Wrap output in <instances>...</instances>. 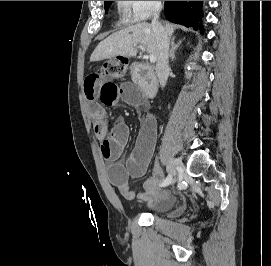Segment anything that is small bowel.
Listing matches in <instances>:
<instances>
[{"mask_svg":"<svg viewBox=\"0 0 271 266\" xmlns=\"http://www.w3.org/2000/svg\"><path fill=\"white\" fill-rule=\"evenodd\" d=\"M84 93L89 101V115L93 121L94 133L101 141V153L109 162V179L121 195L128 199L141 200L148 207H167L173 204L174 197L168 190L159 186L162 171L156 167L152 176L143 184V191L136 193L129 186L131 178L142 177L148 167L156 144V122L148 115L139 131L134 148L125 162L119 158L129 140V126L123 118H118L109 129L105 107L117 106L121 101L140 107L143 99L130 82L116 84L101 72L90 73L84 80ZM159 184V185H158Z\"/></svg>","mask_w":271,"mask_h":266,"instance_id":"c3829d8e","label":"small bowel"}]
</instances>
